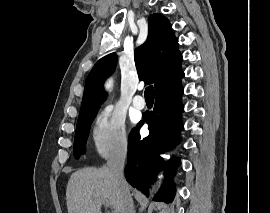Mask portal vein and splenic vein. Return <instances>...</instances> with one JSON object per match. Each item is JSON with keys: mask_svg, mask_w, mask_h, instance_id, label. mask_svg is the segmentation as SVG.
Returning <instances> with one entry per match:
<instances>
[{"mask_svg": "<svg viewBox=\"0 0 270 213\" xmlns=\"http://www.w3.org/2000/svg\"><path fill=\"white\" fill-rule=\"evenodd\" d=\"M100 202H101L102 204L106 205V206L109 205L108 202H107L106 200H104V199H101ZM111 213H116V212L112 211Z\"/></svg>", "mask_w": 270, "mask_h": 213, "instance_id": "obj_1", "label": "portal vein and splenic vein"}]
</instances>
